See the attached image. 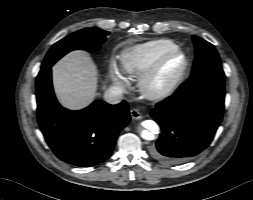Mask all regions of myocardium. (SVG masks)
I'll list each match as a JSON object with an SVG mask.
<instances>
[{
    "label": "myocardium",
    "mask_w": 253,
    "mask_h": 200,
    "mask_svg": "<svg viewBox=\"0 0 253 200\" xmlns=\"http://www.w3.org/2000/svg\"><path fill=\"white\" fill-rule=\"evenodd\" d=\"M172 57H181L182 65L178 72L165 84L156 85V78L164 63ZM189 61L186 54L176 48L161 54L140 76L138 86L142 95L152 101L161 100L171 95L183 80Z\"/></svg>",
    "instance_id": "myocardium-1"
}]
</instances>
